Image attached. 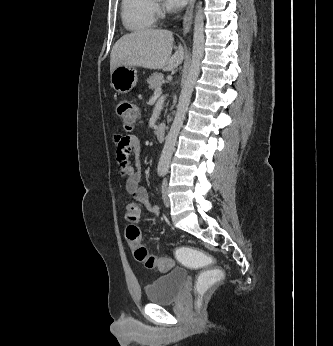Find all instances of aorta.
Wrapping results in <instances>:
<instances>
[{"label":"aorta","instance_id":"762f6f07","mask_svg":"<svg viewBox=\"0 0 333 346\" xmlns=\"http://www.w3.org/2000/svg\"><path fill=\"white\" fill-rule=\"evenodd\" d=\"M204 43V16L202 13V3L199 2L194 18L192 60L183 88L181 90L179 103L177 105V112L166 137L165 144L159 159V168H169L177 142V137L183 126V122L190 104L192 92L194 90L197 78L200 74L201 61L204 56Z\"/></svg>","mask_w":333,"mask_h":346}]
</instances>
